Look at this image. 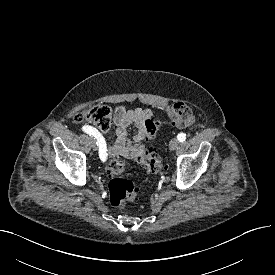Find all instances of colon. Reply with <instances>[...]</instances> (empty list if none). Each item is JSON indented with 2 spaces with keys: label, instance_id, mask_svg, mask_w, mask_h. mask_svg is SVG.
<instances>
[{
  "label": "colon",
  "instance_id": "5ec220e1",
  "mask_svg": "<svg viewBox=\"0 0 275 275\" xmlns=\"http://www.w3.org/2000/svg\"><path fill=\"white\" fill-rule=\"evenodd\" d=\"M167 112L173 125L180 128L189 126L194 120L192 108L184 102L172 104ZM74 121L76 123H81L83 121L92 122L99 130L106 132L111 127L112 111L107 105H92L77 114L74 117ZM146 125L149 132L148 139H150L156 133L157 124L153 119H150L147 121ZM137 161L151 173H158L163 168L160 157L150 146L137 156ZM108 171L111 175L108 184L110 203L114 207L122 208L128 202L134 201L138 195V189L130 179L123 176V162L118 159L112 160L108 165Z\"/></svg>",
  "mask_w": 275,
  "mask_h": 275
}]
</instances>
